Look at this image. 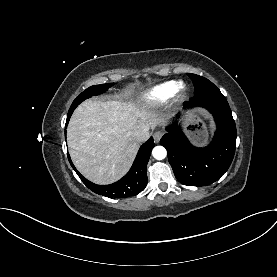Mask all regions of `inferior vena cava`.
Returning <instances> with one entry per match:
<instances>
[{
  "mask_svg": "<svg viewBox=\"0 0 277 277\" xmlns=\"http://www.w3.org/2000/svg\"><path fill=\"white\" fill-rule=\"evenodd\" d=\"M148 138H149L148 126H143L142 128L134 132V139L139 143L146 141Z\"/></svg>",
  "mask_w": 277,
  "mask_h": 277,
  "instance_id": "1",
  "label": "inferior vena cava"
}]
</instances>
